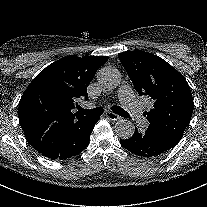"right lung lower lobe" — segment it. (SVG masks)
Masks as SVG:
<instances>
[{"label": "right lung lower lobe", "instance_id": "98d812e1", "mask_svg": "<svg viewBox=\"0 0 207 207\" xmlns=\"http://www.w3.org/2000/svg\"><path fill=\"white\" fill-rule=\"evenodd\" d=\"M99 119L98 116H86L76 121L53 145L39 153L52 160H65L81 153L88 146Z\"/></svg>", "mask_w": 207, "mask_h": 207}]
</instances>
